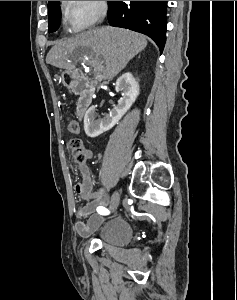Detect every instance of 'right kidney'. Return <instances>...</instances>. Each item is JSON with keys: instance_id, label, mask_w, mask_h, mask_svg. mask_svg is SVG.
<instances>
[{"instance_id": "ca27d5eb", "label": "right kidney", "mask_w": 237, "mask_h": 300, "mask_svg": "<svg viewBox=\"0 0 237 300\" xmlns=\"http://www.w3.org/2000/svg\"><path fill=\"white\" fill-rule=\"evenodd\" d=\"M116 91H122V99L118 101V105L111 109L110 113L103 115L102 119L96 113V107H89L84 117V131L88 137H99L105 131H110L128 109L132 107L139 95V85L131 73H124L116 81Z\"/></svg>"}]
</instances>
